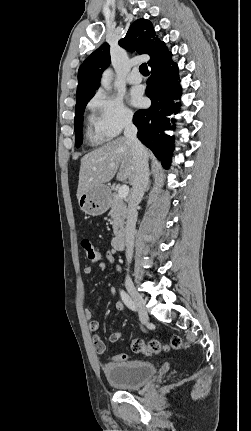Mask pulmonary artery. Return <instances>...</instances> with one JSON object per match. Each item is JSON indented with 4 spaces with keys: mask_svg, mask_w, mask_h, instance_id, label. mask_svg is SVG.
I'll use <instances>...</instances> for the list:
<instances>
[{
    "mask_svg": "<svg viewBox=\"0 0 251 431\" xmlns=\"http://www.w3.org/2000/svg\"><path fill=\"white\" fill-rule=\"evenodd\" d=\"M126 80L130 84H138L141 82L142 77L139 74L138 70L133 69L126 77Z\"/></svg>",
    "mask_w": 251,
    "mask_h": 431,
    "instance_id": "1",
    "label": "pulmonary artery"
}]
</instances>
